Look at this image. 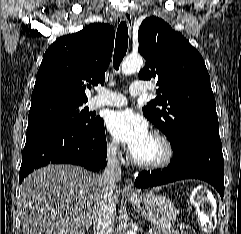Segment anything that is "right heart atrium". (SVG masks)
<instances>
[{
	"label": "right heart atrium",
	"mask_w": 241,
	"mask_h": 234,
	"mask_svg": "<svg viewBox=\"0 0 241 234\" xmlns=\"http://www.w3.org/2000/svg\"><path fill=\"white\" fill-rule=\"evenodd\" d=\"M106 154L110 159L117 160L122 154L121 147L115 139H109L105 145Z\"/></svg>",
	"instance_id": "obj_1"
}]
</instances>
